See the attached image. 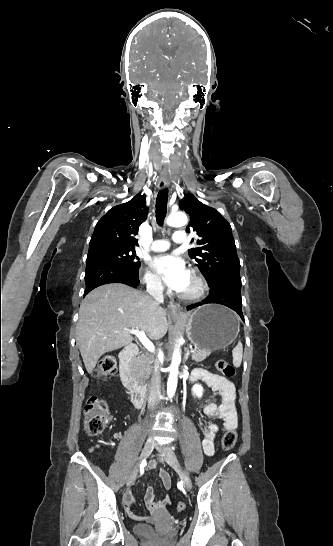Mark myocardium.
Segmentation results:
<instances>
[{
	"label": "myocardium",
	"mask_w": 333,
	"mask_h": 546,
	"mask_svg": "<svg viewBox=\"0 0 333 546\" xmlns=\"http://www.w3.org/2000/svg\"><path fill=\"white\" fill-rule=\"evenodd\" d=\"M191 277L195 281L197 288L192 293H180L179 296L184 300H198L208 291V284L201 273H199L197 270H192Z\"/></svg>",
	"instance_id": "myocardium-1"
}]
</instances>
